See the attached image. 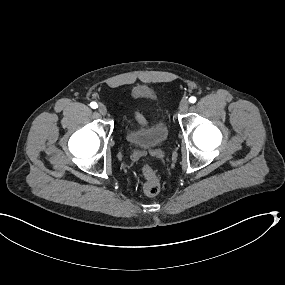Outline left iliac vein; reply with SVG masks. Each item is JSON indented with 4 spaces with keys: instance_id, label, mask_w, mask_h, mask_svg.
<instances>
[{
    "instance_id": "1",
    "label": "left iliac vein",
    "mask_w": 285,
    "mask_h": 285,
    "mask_svg": "<svg viewBox=\"0 0 285 285\" xmlns=\"http://www.w3.org/2000/svg\"><path fill=\"white\" fill-rule=\"evenodd\" d=\"M189 108V103L187 100H182L179 105V109L181 112H186Z\"/></svg>"
}]
</instances>
